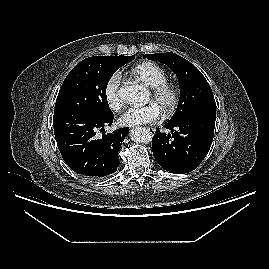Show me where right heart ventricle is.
Instances as JSON below:
<instances>
[{"label": "right heart ventricle", "mask_w": 269, "mask_h": 269, "mask_svg": "<svg viewBox=\"0 0 269 269\" xmlns=\"http://www.w3.org/2000/svg\"><path fill=\"white\" fill-rule=\"evenodd\" d=\"M131 73L150 88H154L168 80L166 71L153 62H143L135 66Z\"/></svg>", "instance_id": "obj_1"}]
</instances>
